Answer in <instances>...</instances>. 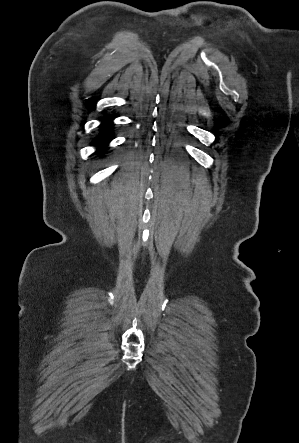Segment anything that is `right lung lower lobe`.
<instances>
[{
  "mask_svg": "<svg viewBox=\"0 0 299 443\" xmlns=\"http://www.w3.org/2000/svg\"><path fill=\"white\" fill-rule=\"evenodd\" d=\"M112 117L109 116L107 117L104 121L103 124L101 125L102 128V134L100 135V141L99 144L102 146H105L108 144V142L111 140L110 135H111V131H112ZM104 148L99 149L98 151H103Z\"/></svg>",
  "mask_w": 299,
  "mask_h": 443,
  "instance_id": "98d812e1",
  "label": "right lung lower lobe"
}]
</instances>
